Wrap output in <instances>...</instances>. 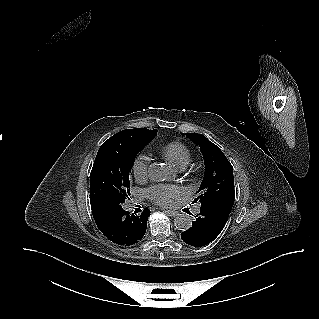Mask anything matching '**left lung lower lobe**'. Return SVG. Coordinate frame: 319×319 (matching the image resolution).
<instances>
[{"instance_id": "obj_1", "label": "left lung lower lobe", "mask_w": 319, "mask_h": 319, "mask_svg": "<svg viewBox=\"0 0 319 319\" xmlns=\"http://www.w3.org/2000/svg\"><path fill=\"white\" fill-rule=\"evenodd\" d=\"M234 201H220L201 205L192 227L181 233L182 240L191 246L201 247L212 242L224 228Z\"/></svg>"}]
</instances>
